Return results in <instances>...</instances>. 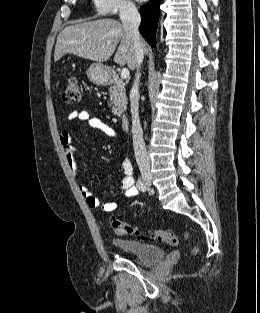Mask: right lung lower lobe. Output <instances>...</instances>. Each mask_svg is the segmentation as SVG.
<instances>
[{
    "label": "right lung lower lobe",
    "instance_id": "1",
    "mask_svg": "<svg viewBox=\"0 0 260 313\" xmlns=\"http://www.w3.org/2000/svg\"><path fill=\"white\" fill-rule=\"evenodd\" d=\"M160 1L161 0H150L146 5L140 8L142 20L139 31L152 47L155 46Z\"/></svg>",
    "mask_w": 260,
    "mask_h": 313
}]
</instances>
